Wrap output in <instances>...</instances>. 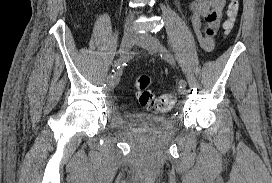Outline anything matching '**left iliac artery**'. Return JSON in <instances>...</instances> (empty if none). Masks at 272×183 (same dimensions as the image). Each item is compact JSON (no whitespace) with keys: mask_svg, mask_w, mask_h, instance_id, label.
Listing matches in <instances>:
<instances>
[{"mask_svg":"<svg viewBox=\"0 0 272 183\" xmlns=\"http://www.w3.org/2000/svg\"><path fill=\"white\" fill-rule=\"evenodd\" d=\"M160 55H161V58L166 60L168 63H170L172 65L175 64V59H174L173 55L162 44H160ZM186 85H187L186 81L184 79H180V81H179L180 88H185Z\"/></svg>","mask_w":272,"mask_h":183,"instance_id":"obj_1","label":"left iliac artery"}]
</instances>
